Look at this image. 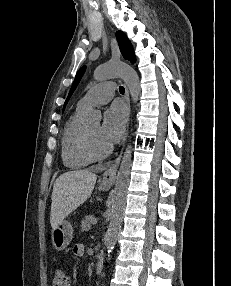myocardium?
<instances>
[{
    "instance_id": "obj_1",
    "label": "myocardium",
    "mask_w": 231,
    "mask_h": 286,
    "mask_svg": "<svg viewBox=\"0 0 231 286\" xmlns=\"http://www.w3.org/2000/svg\"><path fill=\"white\" fill-rule=\"evenodd\" d=\"M81 151L88 160L94 162L105 159L110 154L111 147L107 146V148L104 151L97 152L93 148L87 128L86 126H84L81 135Z\"/></svg>"
}]
</instances>
